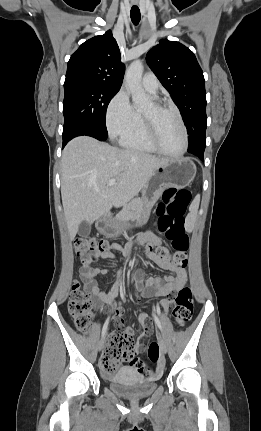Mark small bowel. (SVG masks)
Instances as JSON below:
<instances>
[{"label":"small bowel","instance_id":"small-bowel-1","mask_svg":"<svg viewBox=\"0 0 261 431\" xmlns=\"http://www.w3.org/2000/svg\"><path fill=\"white\" fill-rule=\"evenodd\" d=\"M139 242H150L155 245H161V238L152 231H147L143 233L139 239ZM102 257H111V253L106 251L104 253L97 254ZM147 258L154 262L159 268L167 271H171L173 273L172 276H166L163 279L161 278H148L145 281L144 287L142 288V295L145 297H163L181 289L187 282V270L185 267L177 266L169 259H161L155 253H149ZM108 272L107 269L102 268H92L90 266H82L80 269V277L84 282L85 289L90 293L94 305L98 309H103L105 303L111 301V295L102 291L97 285L96 278L99 275H104ZM135 281L138 285H141L143 282V274L138 272L135 276ZM161 306L164 309V312L167 313L169 310V304L166 298L161 300ZM116 323L118 328H121L124 333L131 336L134 332L131 328L124 326L123 320L121 318L124 316V313L121 309H118L115 313ZM139 320L141 322V338L138 339L136 344L133 347L134 358L135 360H139L135 357L136 353H140L145 348V342L142 339V336H149L151 333V326L147 323V316L144 313L139 314ZM142 364H144L142 362ZM131 365V364H130ZM142 374V373H141Z\"/></svg>","mask_w":261,"mask_h":431}]
</instances>
